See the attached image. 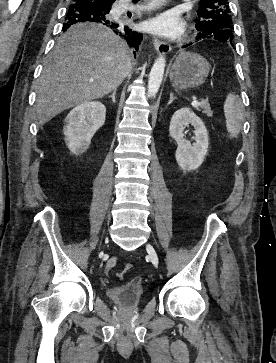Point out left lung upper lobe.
<instances>
[{
    "label": "left lung upper lobe",
    "mask_w": 276,
    "mask_h": 363,
    "mask_svg": "<svg viewBox=\"0 0 276 363\" xmlns=\"http://www.w3.org/2000/svg\"><path fill=\"white\" fill-rule=\"evenodd\" d=\"M200 20L196 24L199 33L206 38L233 40V22L228 0L200 1L197 11Z\"/></svg>",
    "instance_id": "obj_1"
}]
</instances>
